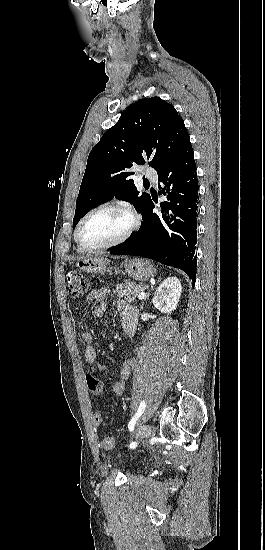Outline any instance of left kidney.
I'll list each match as a JSON object with an SVG mask.
<instances>
[{
  "mask_svg": "<svg viewBox=\"0 0 265 550\" xmlns=\"http://www.w3.org/2000/svg\"><path fill=\"white\" fill-rule=\"evenodd\" d=\"M182 293V286L177 277L165 279L157 288L153 305L163 313H169L176 309Z\"/></svg>",
  "mask_w": 265,
  "mask_h": 550,
  "instance_id": "left-kidney-1",
  "label": "left kidney"
}]
</instances>
